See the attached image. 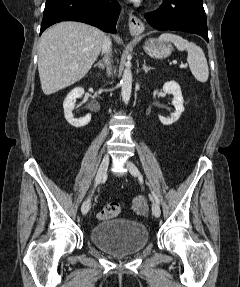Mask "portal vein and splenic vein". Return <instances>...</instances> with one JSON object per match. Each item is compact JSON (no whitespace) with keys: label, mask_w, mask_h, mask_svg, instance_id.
I'll return each instance as SVG.
<instances>
[{"label":"portal vein and splenic vein","mask_w":240,"mask_h":287,"mask_svg":"<svg viewBox=\"0 0 240 287\" xmlns=\"http://www.w3.org/2000/svg\"><path fill=\"white\" fill-rule=\"evenodd\" d=\"M180 68H182V69H186V68H187V65H183V64H181V65H180Z\"/></svg>","instance_id":"portal-vein-and-splenic-vein-1"}]
</instances>
